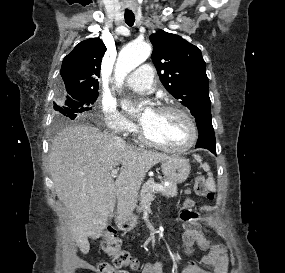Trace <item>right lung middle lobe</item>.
I'll list each match as a JSON object with an SVG mask.
<instances>
[{"instance_id":"dd1d6c3e","label":"right lung middle lobe","mask_w":285,"mask_h":273,"mask_svg":"<svg viewBox=\"0 0 285 273\" xmlns=\"http://www.w3.org/2000/svg\"><path fill=\"white\" fill-rule=\"evenodd\" d=\"M98 97V92L88 93H74L66 94L60 93L58 104L54 105L56 114V121H63L64 119H75V117L84 111L91 110V105L94 104Z\"/></svg>"}]
</instances>
